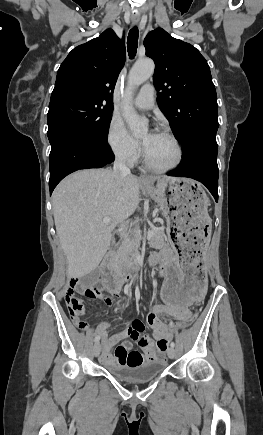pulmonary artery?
I'll return each instance as SVG.
<instances>
[{"label": "pulmonary artery", "instance_id": "1", "mask_svg": "<svg viewBox=\"0 0 263 435\" xmlns=\"http://www.w3.org/2000/svg\"><path fill=\"white\" fill-rule=\"evenodd\" d=\"M134 104L143 110L154 107V88L151 84H145L133 99Z\"/></svg>", "mask_w": 263, "mask_h": 435}]
</instances>
